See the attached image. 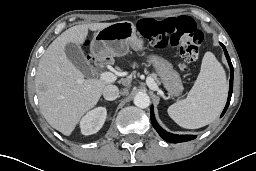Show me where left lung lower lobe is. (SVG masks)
Here are the masks:
<instances>
[{"label": "left lung lower lobe", "mask_w": 256, "mask_h": 171, "mask_svg": "<svg viewBox=\"0 0 256 171\" xmlns=\"http://www.w3.org/2000/svg\"><path fill=\"white\" fill-rule=\"evenodd\" d=\"M220 44L223 47L225 56L227 58L229 66H230V88H229V95H228V100H227L226 106H225V108H224V110H223V112L221 114V117H222L224 115V113L226 112V110H227V108L229 106L230 100H231V95H232V91H233V73H234V71H233V66H232L231 60L229 58V55L227 53V50H226L225 46L222 43H220ZM150 117H151L152 125L156 129L158 134L164 140H166L168 142L179 143V142H185V141H189V140H192V139L196 138L195 135H176V134L169 133V132L165 131L164 129H162L160 127V125L157 123L156 119H155L154 111H153V106H151Z\"/></svg>", "instance_id": "0a47b994"}]
</instances>
